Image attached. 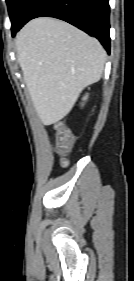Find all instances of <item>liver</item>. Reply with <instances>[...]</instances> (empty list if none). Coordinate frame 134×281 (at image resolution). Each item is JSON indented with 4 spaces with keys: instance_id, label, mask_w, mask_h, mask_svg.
Listing matches in <instances>:
<instances>
[{
    "instance_id": "6515ba94",
    "label": "liver",
    "mask_w": 134,
    "mask_h": 281,
    "mask_svg": "<svg viewBox=\"0 0 134 281\" xmlns=\"http://www.w3.org/2000/svg\"><path fill=\"white\" fill-rule=\"evenodd\" d=\"M15 43L24 81L44 125L63 119L82 90L102 77L106 52L100 42L64 21L33 19Z\"/></svg>"
}]
</instances>
